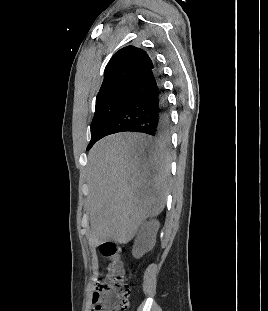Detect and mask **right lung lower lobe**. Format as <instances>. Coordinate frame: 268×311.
<instances>
[{
	"label": "right lung lower lobe",
	"instance_id": "right-lung-lower-lobe-1",
	"mask_svg": "<svg viewBox=\"0 0 268 311\" xmlns=\"http://www.w3.org/2000/svg\"><path fill=\"white\" fill-rule=\"evenodd\" d=\"M168 103L157 66L144 74L134 93L114 120L105 129L102 138L118 132H141L156 139H166L170 131Z\"/></svg>",
	"mask_w": 268,
	"mask_h": 311
}]
</instances>
